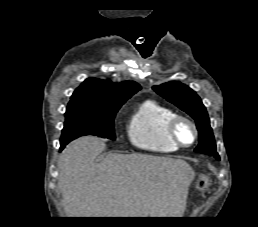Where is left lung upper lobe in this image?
<instances>
[{
	"label": "left lung upper lobe",
	"mask_w": 258,
	"mask_h": 227,
	"mask_svg": "<svg viewBox=\"0 0 258 227\" xmlns=\"http://www.w3.org/2000/svg\"><path fill=\"white\" fill-rule=\"evenodd\" d=\"M153 89L160 96L188 113L196 121L199 131V144L195 151L213 155L219 160L215 139L209 124V117L200 97L188 86L176 81L154 86Z\"/></svg>",
	"instance_id": "1"
}]
</instances>
